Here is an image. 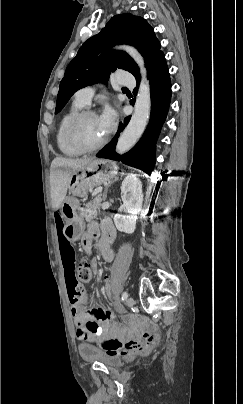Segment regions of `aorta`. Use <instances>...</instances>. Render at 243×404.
I'll use <instances>...</instances> for the list:
<instances>
[{"label": "aorta", "instance_id": "aorta-1", "mask_svg": "<svg viewBox=\"0 0 243 404\" xmlns=\"http://www.w3.org/2000/svg\"><path fill=\"white\" fill-rule=\"evenodd\" d=\"M117 50L127 52V54L137 62L142 74H146L143 58L135 48H132V46H117ZM150 110V88L147 80L143 78L136 98L134 114L117 142L116 152H118V154H125V152H129V150L135 146L147 126Z\"/></svg>", "mask_w": 243, "mask_h": 404}]
</instances>
